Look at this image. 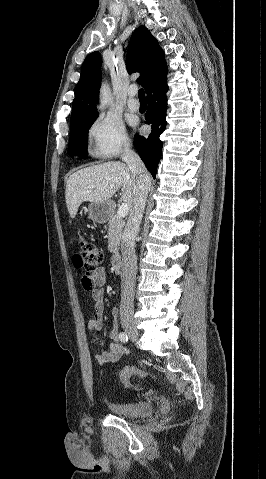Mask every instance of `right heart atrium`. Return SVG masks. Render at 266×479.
<instances>
[{
  "mask_svg": "<svg viewBox=\"0 0 266 479\" xmlns=\"http://www.w3.org/2000/svg\"><path fill=\"white\" fill-rule=\"evenodd\" d=\"M92 152L100 158H114L123 154L129 145L122 123L110 116H99L88 130Z\"/></svg>",
  "mask_w": 266,
  "mask_h": 479,
  "instance_id": "d8ad5b80",
  "label": "right heart atrium"
}]
</instances>
